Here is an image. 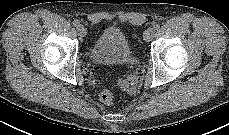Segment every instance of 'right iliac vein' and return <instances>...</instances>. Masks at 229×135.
I'll use <instances>...</instances> for the list:
<instances>
[{
    "label": "right iliac vein",
    "instance_id": "obj_1",
    "mask_svg": "<svg viewBox=\"0 0 229 135\" xmlns=\"http://www.w3.org/2000/svg\"><path fill=\"white\" fill-rule=\"evenodd\" d=\"M77 30L81 37H85L87 35V29L83 25L78 26Z\"/></svg>",
    "mask_w": 229,
    "mask_h": 135
}]
</instances>
